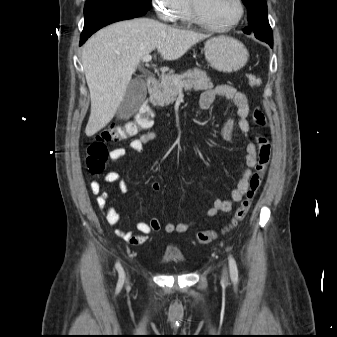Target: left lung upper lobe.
<instances>
[{
	"mask_svg": "<svg viewBox=\"0 0 337 337\" xmlns=\"http://www.w3.org/2000/svg\"><path fill=\"white\" fill-rule=\"evenodd\" d=\"M248 8L249 26L244 32L250 34L254 32L258 39L273 40L272 29L268 23L267 3L265 0H242Z\"/></svg>",
	"mask_w": 337,
	"mask_h": 337,
	"instance_id": "1",
	"label": "left lung upper lobe"
}]
</instances>
